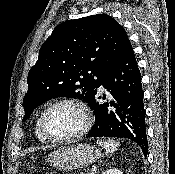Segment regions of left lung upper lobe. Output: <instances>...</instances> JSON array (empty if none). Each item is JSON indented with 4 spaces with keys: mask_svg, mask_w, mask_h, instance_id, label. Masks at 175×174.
Wrapping results in <instances>:
<instances>
[{
    "mask_svg": "<svg viewBox=\"0 0 175 174\" xmlns=\"http://www.w3.org/2000/svg\"><path fill=\"white\" fill-rule=\"evenodd\" d=\"M129 44L123 27L106 14L59 24L29 71L23 121L52 98L78 97L89 104L97 85Z\"/></svg>",
    "mask_w": 175,
    "mask_h": 174,
    "instance_id": "5c2ea615",
    "label": "left lung upper lobe"
}]
</instances>
